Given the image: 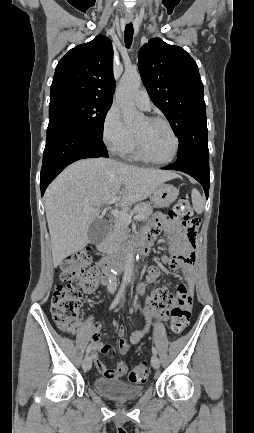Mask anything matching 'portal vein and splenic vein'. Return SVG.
<instances>
[{
  "label": "portal vein and splenic vein",
  "instance_id": "portal-vein-and-splenic-vein-1",
  "mask_svg": "<svg viewBox=\"0 0 254 433\" xmlns=\"http://www.w3.org/2000/svg\"><path fill=\"white\" fill-rule=\"evenodd\" d=\"M119 199V197L118 196H116V197H113L111 200H109L108 202H107V205H110V204H113V203H115L117 200ZM111 214L115 217V218H117V219H119V220H121V221H123V222H126V223H131V221H132V218L134 219V220H142L143 219V216L142 215H135L134 217L132 216V215H129V214H127V213H125V212H122V211H119V210H111Z\"/></svg>",
  "mask_w": 254,
  "mask_h": 433
}]
</instances>
